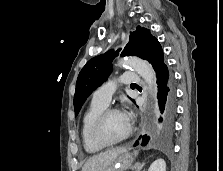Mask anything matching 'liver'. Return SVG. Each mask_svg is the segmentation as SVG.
<instances>
[{"label": "liver", "instance_id": "obj_1", "mask_svg": "<svg viewBox=\"0 0 223 171\" xmlns=\"http://www.w3.org/2000/svg\"><path fill=\"white\" fill-rule=\"evenodd\" d=\"M126 151L127 149L125 147H118L94 155L85 162L81 171H104L120 154Z\"/></svg>", "mask_w": 223, "mask_h": 171}]
</instances>
